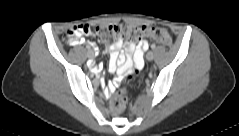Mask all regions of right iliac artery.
I'll return each instance as SVG.
<instances>
[{"instance_id":"1","label":"right iliac artery","mask_w":239,"mask_h":136,"mask_svg":"<svg viewBox=\"0 0 239 136\" xmlns=\"http://www.w3.org/2000/svg\"><path fill=\"white\" fill-rule=\"evenodd\" d=\"M91 48L89 46H85V50H90Z\"/></svg>"}]
</instances>
